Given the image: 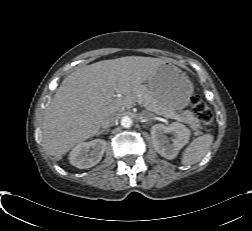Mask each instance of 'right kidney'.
Listing matches in <instances>:
<instances>
[{
    "mask_svg": "<svg viewBox=\"0 0 252 231\" xmlns=\"http://www.w3.org/2000/svg\"><path fill=\"white\" fill-rule=\"evenodd\" d=\"M106 141L95 139L90 142H81L69 154L70 163L79 168L87 169L98 164L106 150Z\"/></svg>",
    "mask_w": 252,
    "mask_h": 231,
    "instance_id": "obj_1",
    "label": "right kidney"
}]
</instances>
